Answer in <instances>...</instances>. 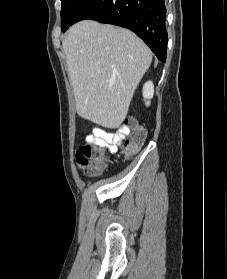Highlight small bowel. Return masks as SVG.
<instances>
[{"label": "small bowel", "instance_id": "1", "mask_svg": "<svg viewBox=\"0 0 227 279\" xmlns=\"http://www.w3.org/2000/svg\"><path fill=\"white\" fill-rule=\"evenodd\" d=\"M128 134L129 129L125 126H120L115 132H107L104 128L96 126L90 139L94 140L97 146L107 148L109 153L114 155L123 145Z\"/></svg>", "mask_w": 227, "mask_h": 279}]
</instances>
